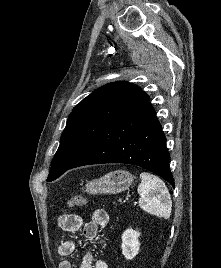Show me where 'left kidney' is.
<instances>
[{
    "label": "left kidney",
    "mask_w": 221,
    "mask_h": 268,
    "mask_svg": "<svg viewBox=\"0 0 221 268\" xmlns=\"http://www.w3.org/2000/svg\"><path fill=\"white\" fill-rule=\"evenodd\" d=\"M140 233L133 229H127L122 234V254L128 260L133 259L139 252L140 243L139 238Z\"/></svg>",
    "instance_id": "left-kidney-1"
}]
</instances>
